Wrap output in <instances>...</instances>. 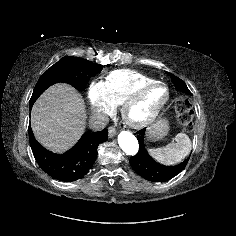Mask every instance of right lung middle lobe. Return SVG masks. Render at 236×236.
<instances>
[{
    "instance_id": "1",
    "label": "right lung middle lobe",
    "mask_w": 236,
    "mask_h": 236,
    "mask_svg": "<svg viewBox=\"0 0 236 236\" xmlns=\"http://www.w3.org/2000/svg\"><path fill=\"white\" fill-rule=\"evenodd\" d=\"M103 66L79 57H64L52 65L39 78L29 104L33 105L37 98L51 85L58 82L71 84L83 91L88 80L99 73Z\"/></svg>"
}]
</instances>
